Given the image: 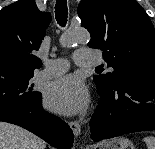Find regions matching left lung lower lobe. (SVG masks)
Here are the masks:
<instances>
[{
  "instance_id": "0a47b994",
  "label": "left lung lower lobe",
  "mask_w": 155,
  "mask_h": 149,
  "mask_svg": "<svg viewBox=\"0 0 155 149\" xmlns=\"http://www.w3.org/2000/svg\"><path fill=\"white\" fill-rule=\"evenodd\" d=\"M97 88L101 101L90 122L94 142L155 130V72L135 73L114 86Z\"/></svg>"
}]
</instances>
